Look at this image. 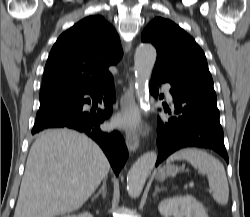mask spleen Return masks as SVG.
<instances>
[{
  "label": "spleen",
  "instance_id": "obj_1",
  "mask_svg": "<svg viewBox=\"0 0 250 217\" xmlns=\"http://www.w3.org/2000/svg\"><path fill=\"white\" fill-rule=\"evenodd\" d=\"M174 160H187L198 170L206 175L210 188L213 190L212 197L220 205H226L229 199V186L223 164L204 150L186 148L172 154L167 162Z\"/></svg>",
  "mask_w": 250,
  "mask_h": 217
}]
</instances>
